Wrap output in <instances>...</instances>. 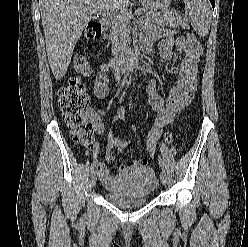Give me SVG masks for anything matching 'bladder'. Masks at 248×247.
<instances>
[{
    "instance_id": "1",
    "label": "bladder",
    "mask_w": 248,
    "mask_h": 247,
    "mask_svg": "<svg viewBox=\"0 0 248 247\" xmlns=\"http://www.w3.org/2000/svg\"><path fill=\"white\" fill-rule=\"evenodd\" d=\"M157 187L155 172L147 167H130L117 178V189L105 192L110 203L122 207H138L145 205Z\"/></svg>"
}]
</instances>
